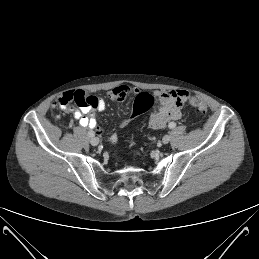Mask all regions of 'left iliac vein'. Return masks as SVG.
Instances as JSON below:
<instances>
[{
	"label": "left iliac vein",
	"mask_w": 259,
	"mask_h": 259,
	"mask_svg": "<svg viewBox=\"0 0 259 259\" xmlns=\"http://www.w3.org/2000/svg\"><path fill=\"white\" fill-rule=\"evenodd\" d=\"M169 141H170V136H169V135H165V136L162 138V142H163L164 144L169 143Z\"/></svg>",
	"instance_id": "1"
}]
</instances>
